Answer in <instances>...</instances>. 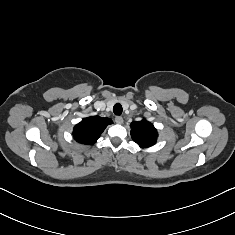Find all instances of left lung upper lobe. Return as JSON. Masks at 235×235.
I'll return each mask as SVG.
<instances>
[{"label": "left lung upper lobe", "instance_id": "1", "mask_svg": "<svg viewBox=\"0 0 235 235\" xmlns=\"http://www.w3.org/2000/svg\"><path fill=\"white\" fill-rule=\"evenodd\" d=\"M132 139L141 147L146 148L154 145L157 140V131L153 124L146 120L132 122L131 125Z\"/></svg>", "mask_w": 235, "mask_h": 235}]
</instances>
